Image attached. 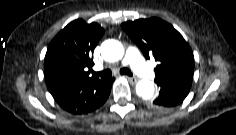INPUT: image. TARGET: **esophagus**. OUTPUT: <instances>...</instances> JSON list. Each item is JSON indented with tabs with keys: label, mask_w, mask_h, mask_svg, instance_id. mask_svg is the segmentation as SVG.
<instances>
[{
	"label": "esophagus",
	"mask_w": 236,
	"mask_h": 135,
	"mask_svg": "<svg viewBox=\"0 0 236 135\" xmlns=\"http://www.w3.org/2000/svg\"><path fill=\"white\" fill-rule=\"evenodd\" d=\"M131 84H135L137 82L136 78L133 77H128V76H124Z\"/></svg>",
	"instance_id": "esophagus-1"
}]
</instances>
